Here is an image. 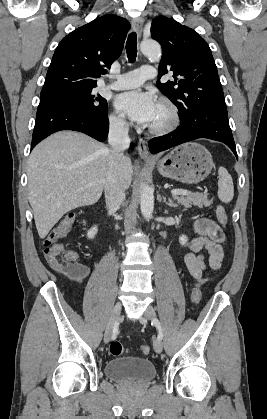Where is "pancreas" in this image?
<instances>
[{
	"label": "pancreas",
	"instance_id": "cf45deb5",
	"mask_svg": "<svg viewBox=\"0 0 267 419\" xmlns=\"http://www.w3.org/2000/svg\"><path fill=\"white\" fill-rule=\"evenodd\" d=\"M174 198L185 208H190L192 206L202 208L203 206H210L212 204V201L209 200L205 194L200 193H190L180 197L175 196Z\"/></svg>",
	"mask_w": 267,
	"mask_h": 419
}]
</instances>
